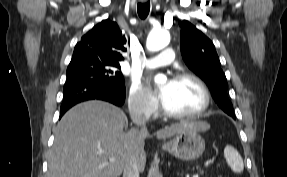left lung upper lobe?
I'll use <instances>...</instances> for the list:
<instances>
[{"label": "left lung upper lobe", "instance_id": "1", "mask_svg": "<svg viewBox=\"0 0 287 177\" xmlns=\"http://www.w3.org/2000/svg\"><path fill=\"white\" fill-rule=\"evenodd\" d=\"M181 27V53L186 65L209 87L218 106L235 118L227 95V79L212 41L190 22L183 20Z\"/></svg>", "mask_w": 287, "mask_h": 177}]
</instances>
